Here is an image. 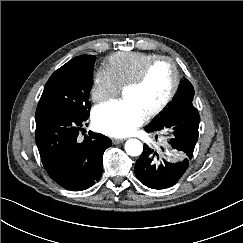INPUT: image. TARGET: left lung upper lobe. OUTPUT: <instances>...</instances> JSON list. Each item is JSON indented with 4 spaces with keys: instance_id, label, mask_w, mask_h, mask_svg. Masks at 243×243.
Listing matches in <instances>:
<instances>
[{
    "instance_id": "obj_1",
    "label": "left lung upper lobe",
    "mask_w": 243,
    "mask_h": 243,
    "mask_svg": "<svg viewBox=\"0 0 243 243\" xmlns=\"http://www.w3.org/2000/svg\"><path fill=\"white\" fill-rule=\"evenodd\" d=\"M194 97V88L192 84L187 80L184 79L181 81L179 86V91L174 102L165 110V112L153 120L150 125H157L159 128H163L167 125L169 118H175L173 115H177V109L179 106H186L192 103ZM194 119V115L191 118H180L178 119L179 122L185 123L186 120L192 121Z\"/></svg>"
}]
</instances>
